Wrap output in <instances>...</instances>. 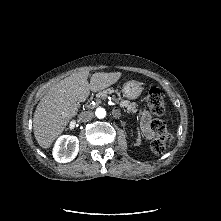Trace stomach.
<instances>
[{
  "label": "stomach",
  "mask_w": 221,
  "mask_h": 221,
  "mask_svg": "<svg viewBox=\"0 0 221 221\" xmlns=\"http://www.w3.org/2000/svg\"><path fill=\"white\" fill-rule=\"evenodd\" d=\"M143 88L140 82L135 80L127 81L123 85V95L128 99H136L141 95Z\"/></svg>",
  "instance_id": "0dacf381"
}]
</instances>
